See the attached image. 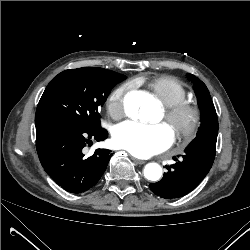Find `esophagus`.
<instances>
[{
  "instance_id": "34e87169",
  "label": "esophagus",
  "mask_w": 250,
  "mask_h": 250,
  "mask_svg": "<svg viewBox=\"0 0 250 250\" xmlns=\"http://www.w3.org/2000/svg\"><path fill=\"white\" fill-rule=\"evenodd\" d=\"M133 162L137 165H141V164H144L145 161L144 160H140V159H137V158H132Z\"/></svg>"
}]
</instances>
